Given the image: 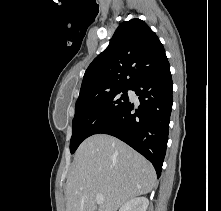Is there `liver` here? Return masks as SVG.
Returning <instances> with one entry per match:
<instances>
[{
	"mask_svg": "<svg viewBox=\"0 0 221 211\" xmlns=\"http://www.w3.org/2000/svg\"><path fill=\"white\" fill-rule=\"evenodd\" d=\"M156 186L152 164L124 142L106 134L87 138L77 149L66 182V211H117Z\"/></svg>",
	"mask_w": 221,
	"mask_h": 211,
	"instance_id": "6515ba94",
	"label": "liver"
}]
</instances>
